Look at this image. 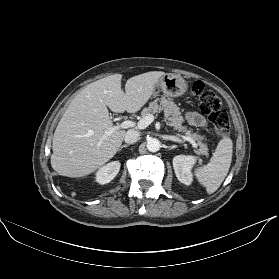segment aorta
Segmentation results:
<instances>
[{"mask_svg": "<svg viewBox=\"0 0 279 279\" xmlns=\"http://www.w3.org/2000/svg\"><path fill=\"white\" fill-rule=\"evenodd\" d=\"M146 146L150 152H157L161 148V142L156 138H150Z\"/></svg>", "mask_w": 279, "mask_h": 279, "instance_id": "1", "label": "aorta"}]
</instances>
